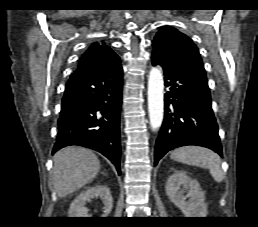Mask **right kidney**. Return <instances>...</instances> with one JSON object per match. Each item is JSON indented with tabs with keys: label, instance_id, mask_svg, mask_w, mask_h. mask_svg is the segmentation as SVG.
<instances>
[{
	"label": "right kidney",
	"instance_id": "right-kidney-1",
	"mask_svg": "<svg viewBox=\"0 0 258 227\" xmlns=\"http://www.w3.org/2000/svg\"><path fill=\"white\" fill-rule=\"evenodd\" d=\"M100 197L104 207L103 217H106L112 210L113 207V198L111 192L107 186L100 185L87 188L85 191H82L72 202L69 209V217H88V209L85 207L87 202H90L91 199Z\"/></svg>",
	"mask_w": 258,
	"mask_h": 227
}]
</instances>
